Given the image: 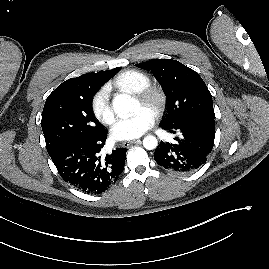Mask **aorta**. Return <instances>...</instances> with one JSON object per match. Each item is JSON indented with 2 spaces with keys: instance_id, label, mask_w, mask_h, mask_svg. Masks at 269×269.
Wrapping results in <instances>:
<instances>
[{
  "instance_id": "1",
  "label": "aorta",
  "mask_w": 269,
  "mask_h": 269,
  "mask_svg": "<svg viewBox=\"0 0 269 269\" xmlns=\"http://www.w3.org/2000/svg\"><path fill=\"white\" fill-rule=\"evenodd\" d=\"M112 104L115 113L124 119L132 116L139 108L138 100L128 94L116 95ZM143 146L147 150H153L158 146V141L155 136L148 135L143 139Z\"/></svg>"
}]
</instances>
